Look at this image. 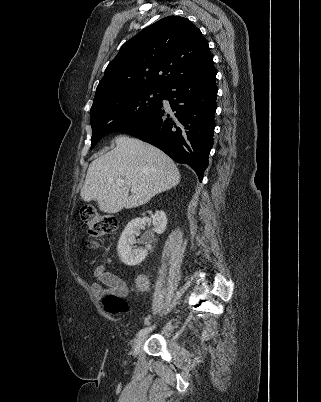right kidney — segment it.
I'll return each instance as SVG.
<instances>
[{"label":"right kidney","mask_w":321,"mask_h":402,"mask_svg":"<svg viewBox=\"0 0 321 402\" xmlns=\"http://www.w3.org/2000/svg\"><path fill=\"white\" fill-rule=\"evenodd\" d=\"M144 221L141 218L131 220L122 232L118 241L117 251L121 261L128 266L140 264L147 256L148 250H151V245H146L145 248H137L135 245V234L142 228ZM153 231L157 234H162L167 225V216L164 211H156L152 220Z\"/></svg>","instance_id":"right-kidney-1"}]
</instances>
